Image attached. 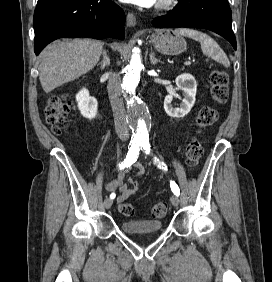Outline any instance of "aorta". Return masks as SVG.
Returning a JSON list of instances; mask_svg holds the SVG:
<instances>
[{"label": "aorta", "mask_w": 272, "mask_h": 282, "mask_svg": "<svg viewBox=\"0 0 272 282\" xmlns=\"http://www.w3.org/2000/svg\"><path fill=\"white\" fill-rule=\"evenodd\" d=\"M142 62L138 48L133 54L123 78V89L130 100L128 107V120L134 139L141 140L149 137L148 122L149 112L145 104L137 97V89L140 81Z\"/></svg>", "instance_id": "obj_1"}]
</instances>
